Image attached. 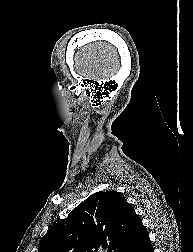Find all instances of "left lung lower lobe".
Instances as JSON below:
<instances>
[{"label":"left lung lower lobe","instance_id":"0a47b994","mask_svg":"<svg viewBox=\"0 0 193 252\" xmlns=\"http://www.w3.org/2000/svg\"><path fill=\"white\" fill-rule=\"evenodd\" d=\"M124 252H154L148 233L142 222L136 226Z\"/></svg>","mask_w":193,"mask_h":252}]
</instances>
